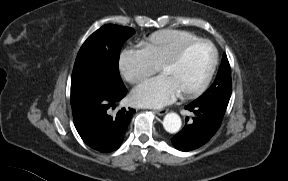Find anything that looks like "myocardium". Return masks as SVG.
<instances>
[{
  "label": "myocardium",
  "instance_id": "1",
  "mask_svg": "<svg viewBox=\"0 0 288 181\" xmlns=\"http://www.w3.org/2000/svg\"><path fill=\"white\" fill-rule=\"evenodd\" d=\"M199 44H208L209 46H211L214 52V60L210 68V71L208 72L205 79L198 86L190 90L181 92L180 96L182 98H189V97L196 96L202 93L212 81V78L216 72L218 62H219V52H218L216 45L208 39H197L195 41H192L182 46L176 53H174L171 57L165 59L158 66V71L161 72V70L164 68L171 67V66L178 64L183 59V57L187 54L188 51H190L192 48H194L195 46Z\"/></svg>",
  "mask_w": 288,
  "mask_h": 181
}]
</instances>
